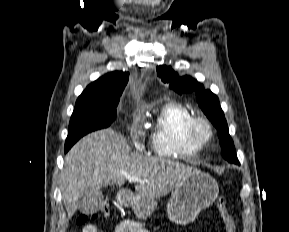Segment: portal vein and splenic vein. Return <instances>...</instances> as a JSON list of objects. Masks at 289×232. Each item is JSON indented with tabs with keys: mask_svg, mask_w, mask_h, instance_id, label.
Instances as JSON below:
<instances>
[{
	"mask_svg": "<svg viewBox=\"0 0 289 232\" xmlns=\"http://www.w3.org/2000/svg\"><path fill=\"white\" fill-rule=\"evenodd\" d=\"M129 182H147V180H141L136 176L127 177Z\"/></svg>",
	"mask_w": 289,
	"mask_h": 232,
	"instance_id": "portal-vein-and-splenic-vein-1",
	"label": "portal vein and splenic vein"
}]
</instances>
